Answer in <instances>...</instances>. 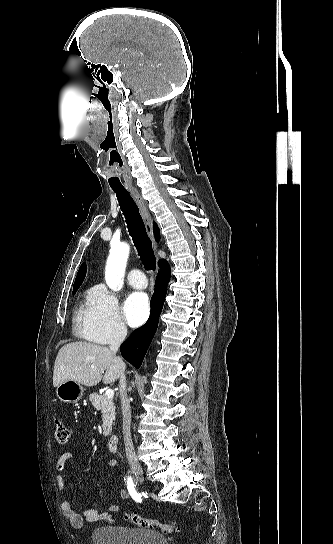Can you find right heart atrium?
I'll return each instance as SVG.
<instances>
[{"mask_svg": "<svg viewBox=\"0 0 333 544\" xmlns=\"http://www.w3.org/2000/svg\"><path fill=\"white\" fill-rule=\"evenodd\" d=\"M79 326L83 336L97 344L120 342L127 335L118 298L104 287H96L89 293Z\"/></svg>", "mask_w": 333, "mask_h": 544, "instance_id": "obj_1", "label": "right heart atrium"}]
</instances>
